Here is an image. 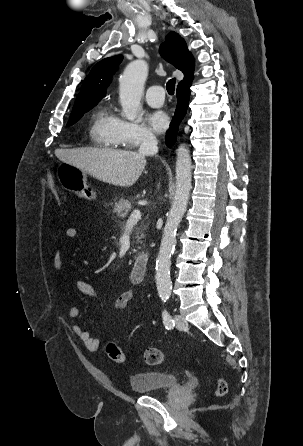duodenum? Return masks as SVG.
Wrapping results in <instances>:
<instances>
[{"instance_id": "duodenum-1", "label": "duodenum", "mask_w": 303, "mask_h": 446, "mask_svg": "<svg viewBox=\"0 0 303 446\" xmlns=\"http://www.w3.org/2000/svg\"><path fill=\"white\" fill-rule=\"evenodd\" d=\"M148 264L149 254L146 252L139 254L131 269L132 279L137 281L142 280L147 272Z\"/></svg>"}]
</instances>
